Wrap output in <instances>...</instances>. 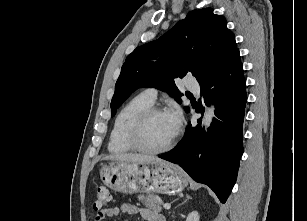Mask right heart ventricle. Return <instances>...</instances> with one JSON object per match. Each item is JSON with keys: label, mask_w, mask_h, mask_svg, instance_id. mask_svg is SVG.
<instances>
[{"label": "right heart ventricle", "mask_w": 307, "mask_h": 221, "mask_svg": "<svg viewBox=\"0 0 307 221\" xmlns=\"http://www.w3.org/2000/svg\"><path fill=\"white\" fill-rule=\"evenodd\" d=\"M153 106L143 94H140L127 102L118 112L113 123L108 142V150L113 154H121L132 151L128 142V133L134 119L143 110Z\"/></svg>", "instance_id": "1"}]
</instances>
